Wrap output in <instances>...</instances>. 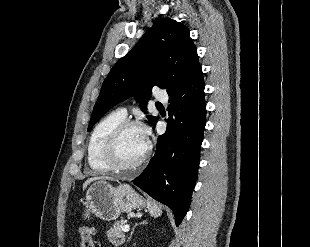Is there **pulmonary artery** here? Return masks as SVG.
<instances>
[{
	"label": "pulmonary artery",
	"instance_id": "pulmonary-artery-1",
	"mask_svg": "<svg viewBox=\"0 0 310 247\" xmlns=\"http://www.w3.org/2000/svg\"><path fill=\"white\" fill-rule=\"evenodd\" d=\"M155 99L160 101V102H164L166 103L168 101V96L166 93H162V92H158L155 94ZM122 115L126 116V109L125 108H121L118 110Z\"/></svg>",
	"mask_w": 310,
	"mask_h": 247
}]
</instances>
